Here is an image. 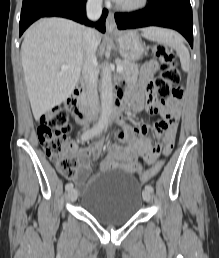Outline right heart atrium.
Here are the masks:
<instances>
[{
	"label": "right heart atrium",
	"instance_id": "obj_1",
	"mask_svg": "<svg viewBox=\"0 0 219 258\" xmlns=\"http://www.w3.org/2000/svg\"><path fill=\"white\" fill-rule=\"evenodd\" d=\"M92 4L98 5L102 2V0H89Z\"/></svg>",
	"mask_w": 219,
	"mask_h": 258
}]
</instances>
